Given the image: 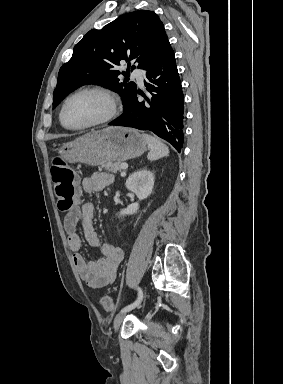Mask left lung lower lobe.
Returning a JSON list of instances; mask_svg holds the SVG:
<instances>
[{
	"instance_id": "obj_1",
	"label": "left lung lower lobe",
	"mask_w": 283,
	"mask_h": 384,
	"mask_svg": "<svg viewBox=\"0 0 283 384\" xmlns=\"http://www.w3.org/2000/svg\"><path fill=\"white\" fill-rule=\"evenodd\" d=\"M145 96L148 103L139 102L137 89L126 104L124 113L109 125L150 130L170 142L178 152L184 141V95L175 55L169 42L146 68Z\"/></svg>"
}]
</instances>
